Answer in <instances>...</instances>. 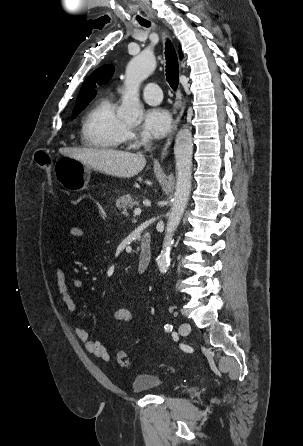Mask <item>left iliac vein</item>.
I'll list each match as a JSON object with an SVG mask.
<instances>
[{"mask_svg": "<svg viewBox=\"0 0 303 446\" xmlns=\"http://www.w3.org/2000/svg\"><path fill=\"white\" fill-rule=\"evenodd\" d=\"M190 331H191V327H190V325L188 323H182L179 326V333L182 336H187L190 333Z\"/></svg>", "mask_w": 303, "mask_h": 446, "instance_id": "left-iliac-vein-1", "label": "left iliac vein"}]
</instances>
